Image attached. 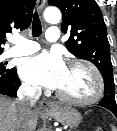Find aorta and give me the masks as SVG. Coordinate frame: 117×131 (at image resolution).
Returning <instances> with one entry per match:
<instances>
[{"label":"aorta","mask_w":117,"mask_h":131,"mask_svg":"<svg viewBox=\"0 0 117 131\" xmlns=\"http://www.w3.org/2000/svg\"><path fill=\"white\" fill-rule=\"evenodd\" d=\"M44 19L51 24L58 23L61 20V12L55 7L46 8L44 11Z\"/></svg>","instance_id":"obj_1"}]
</instances>
